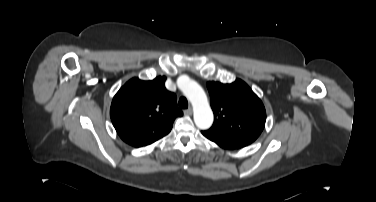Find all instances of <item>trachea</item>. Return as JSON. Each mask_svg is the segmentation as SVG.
<instances>
[{
	"label": "trachea",
	"mask_w": 376,
	"mask_h": 202,
	"mask_svg": "<svg viewBox=\"0 0 376 202\" xmlns=\"http://www.w3.org/2000/svg\"><path fill=\"white\" fill-rule=\"evenodd\" d=\"M179 107L182 109H187L188 108V101L185 97H181L179 99Z\"/></svg>",
	"instance_id": "obj_1"
}]
</instances>
